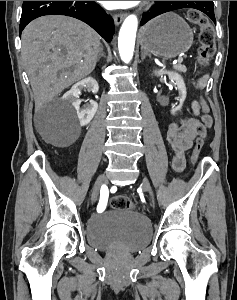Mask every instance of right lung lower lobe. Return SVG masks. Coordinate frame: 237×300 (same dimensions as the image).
<instances>
[{
  "mask_svg": "<svg viewBox=\"0 0 237 300\" xmlns=\"http://www.w3.org/2000/svg\"><path fill=\"white\" fill-rule=\"evenodd\" d=\"M44 15H66L82 20L107 42L112 40L115 31L113 19L93 1H24L19 34L29 22Z\"/></svg>",
  "mask_w": 237,
  "mask_h": 300,
  "instance_id": "1",
  "label": "right lung lower lobe"
}]
</instances>
